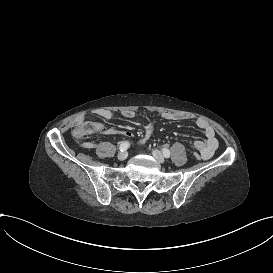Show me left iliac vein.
Returning a JSON list of instances; mask_svg holds the SVG:
<instances>
[{
    "instance_id": "1",
    "label": "left iliac vein",
    "mask_w": 273,
    "mask_h": 273,
    "mask_svg": "<svg viewBox=\"0 0 273 273\" xmlns=\"http://www.w3.org/2000/svg\"><path fill=\"white\" fill-rule=\"evenodd\" d=\"M152 155L160 162H164V157L159 150H153Z\"/></svg>"
}]
</instances>
